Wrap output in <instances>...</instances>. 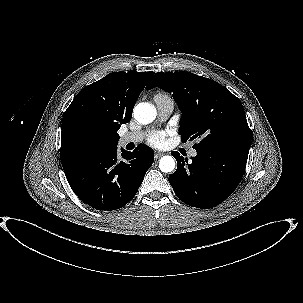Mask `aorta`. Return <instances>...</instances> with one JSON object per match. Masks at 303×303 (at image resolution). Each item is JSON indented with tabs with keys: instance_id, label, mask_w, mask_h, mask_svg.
I'll return each mask as SVG.
<instances>
[{
	"instance_id": "obj_1",
	"label": "aorta",
	"mask_w": 303,
	"mask_h": 303,
	"mask_svg": "<svg viewBox=\"0 0 303 303\" xmlns=\"http://www.w3.org/2000/svg\"><path fill=\"white\" fill-rule=\"evenodd\" d=\"M156 109L152 104L139 103L134 108V117L141 124H149L156 118ZM175 168V160L172 156H163L159 162V169L162 172H172Z\"/></svg>"
}]
</instances>
